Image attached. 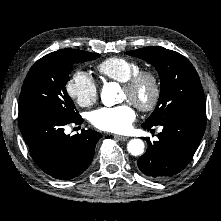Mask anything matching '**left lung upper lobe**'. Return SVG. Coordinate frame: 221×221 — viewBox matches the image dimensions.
Listing matches in <instances>:
<instances>
[{
  "instance_id": "5c2ea615",
  "label": "left lung upper lobe",
  "mask_w": 221,
  "mask_h": 221,
  "mask_svg": "<svg viewBox=\"0 0 221 221\" xmlns=\"http://www.w3.org/2000/svg\"><path fill=\"white\" fill-rule=\"evenodd\" d=\"M126 53L153 64L161 80L158 104L143 125L156 126L177 113L206 108L199 76L193 65L184 56L159 46Z\"/></svg>"
}]
</instances>
